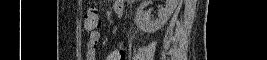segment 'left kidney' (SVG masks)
Listing matches in <instances>:
<instances>
[{
	"label": "left kidney",
	"instance_id": "left-kidney-1",
	"mask_svg": "<svg viewBox=\"0 0 267 60\" xmlns=\"http://www.w3.org/2000/svg\"><path fill=\"white\" fill-rule=\"evenodd\" d=\"M177 4L178 0H165V7L158 10V18L155 20L151 19L149 13L144 10V5L141 4L136 11L135 23L142 31L155 32L166 24Z\"/></svg>",
	"mask_w": 267,
	"mask_h": 60
}]
</instances>
